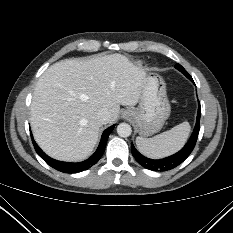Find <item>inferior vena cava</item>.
Here are the masks:
<instances>
[{
  "label": "inferior vena cava",
  "mask_w": 233,
  "mask_h": 233,
  "mask_svg": "<svg viewBox=\"0 0 233 233\" xmlns=\"http://www.w3.org/2000/svg\"><path fill=\"white\" fill-rule=\"evenodd\" d=\"M109 117V113L106 110H101L97 115L99 122L102 124H107L109 122Z\"/></svg>",
  "instance_id": "602c4592"
}]
</instances>
